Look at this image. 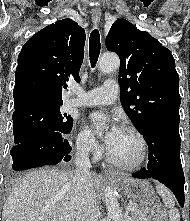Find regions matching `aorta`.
Returning <instances> with one entry per match:
<instances>
[{"label": "aorta", "mask_w": 190, "mask_h": 221, "mask_svg": "<svg viewBox=\"0 0 190 221\" xmlns=\"http://www.w3.org/2000/svg\"><path fill=\"white\" fill-rule=\"evenodd\" d=\"M120 61L117 55H103L99 61V70L104 73H110L119 68ZM104 201L108 215L112 221H125L122 209L118 202V197L112 187H108L104 192Z\"/></svg>", "instance_id": "aorta-1"}]
</instances>
